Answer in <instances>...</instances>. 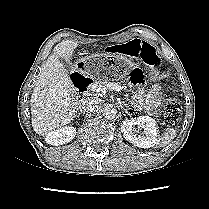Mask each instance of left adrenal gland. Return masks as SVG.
Masks as SVG:
<instances>
[{
	"label": "left adrenal gland",
	"instance_id": "a2214340",
	"mask_svg": "<svg viewBox=\"0 0 209 209\" xmlns=\"http://www.w3.org/2000/svg\"><path fill=\"white\" fill-rule=\"evenodd\" d=\"M121 105H122V106H126V107H128V105H127V104H125V103H122Z\"/></svg>",
	"mask_w": 209,
	"mask_h": 209
}]
</instances>
